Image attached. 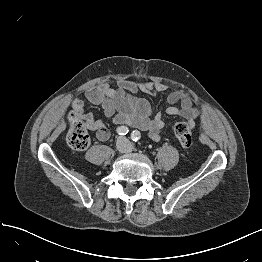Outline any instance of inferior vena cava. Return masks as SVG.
<instances>
[{
    "label": "inferior vena cava",
    "mask_w": 262,
    "mask_h": 262,
    "mask_svg": "<svg viewBox=\"0 0 262 262\" xmlns=\"http://www.w3.org/2000/svg\"><path fill=\"white\" fill-rule=\"evenodd\" d=\"M126 142L129 144V141L128 140H126ZM124 151H126L127 149H123Z\"/></svg>",
    "instance_id": "602c4592"
}]
</instances>
